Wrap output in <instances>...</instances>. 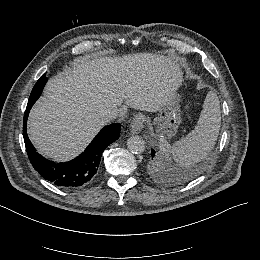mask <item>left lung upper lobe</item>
<instances>
[{"label":"left lung upper lobe","mask_w":260,"mask_h":260,"mask_svg":"<svg viewBox=\"0 0 260 260\" xmlns=\"http://www.w3.org/2000/svg\"><path fill=\"white\" fill-rule=\"evenodd\" d=\"M154 155H155V154H153V153L151 152L152 159H153Z\"/></svg>","instance_id":"1"}]
</instances>
